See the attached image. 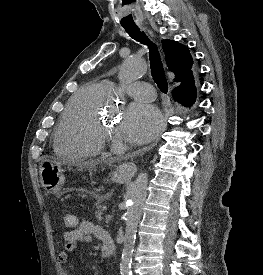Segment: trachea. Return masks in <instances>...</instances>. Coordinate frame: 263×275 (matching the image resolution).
<instances>
[{"instance_id":"trachea-1","label":"trachea","mask_w":263,"mask_h":275,"mask_svg":"<svg viewBox=\"0 0 263 275\" xmlns=\"http://www.w3.org/2000/svg\"><path fill=\"white\" fill-rule=\"evenodd\" d=\"M124 28L131 38L140 42L141 44H146L148 46L152 77L161 92L166 94L168 92V82L164 73L162 61L157 46L152 43L145 35V33L143 31H140L138 27Z\"/></svg>"}]
</instances>
